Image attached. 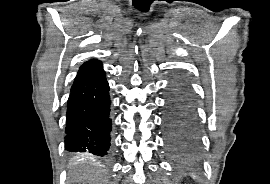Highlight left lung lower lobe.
Returning <instances> with one entry per match:
<instances>
[{"instance_id":"obj_1","label":"left lung lower lobe","mask_w":270,"mask_h":184,"mask_svg":"<svg viewBox=\"0 0 270 184\" xmlns=\"http://www.w3.org/2000/svg\"><path fill=\"white\" fill-rule=\"evenodd\" d=\"M163 131L172 158L186 161L200 158V128L194 98L184 80L178 81L170 91Z\"/></svg>"}]
</instances>
